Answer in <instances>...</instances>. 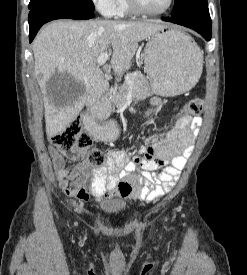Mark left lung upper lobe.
Masks as SVG:
<instances>
[{
	"label": "left lung upper lobe",
	"mask_w": 247,
	"mask_h": 275,
	"mask_svg": "<svg viewBox=\"0 0 247 275\" xmlns=\"http://www.w3.org/2000/svg\"><path fill=\"white\" fill-rule=\"evenodd\" d=\"M201 12H209L207 0H175L172 17L179 18Z\"/></svg>",
	"instance_id": "left-lung-upper-lobe-1"
}]
</instances>
